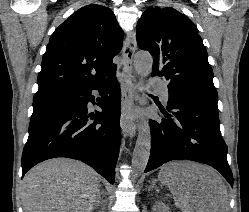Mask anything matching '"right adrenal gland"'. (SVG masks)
<instances>
[{
  "mask_svg": "<svg viewBox=\"0 0 249 212\" xmlns=\"http://www.w3.org/2000/svg\"><path fill=\"white\" fill-rule=\"evenodd\" d=\"M102 198H104V196H102V194H101V192L99 190V192L97 194V198H96V200L94 202V206L92 208V212H94V210H96V208H98V206H100Z\"/></svg>",
  "mask_w": 249,
  "mask_h": 212,
  "instance_id": "2a0ac1e0",
  "label": "right adrenal gland"
}]
</instances>
